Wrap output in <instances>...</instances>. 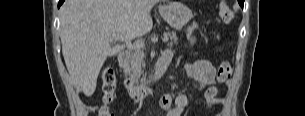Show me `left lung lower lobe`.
I'll list each match as a JSON object with an SVG mask.
<instances>
[{"label": "left lung lower lobe", "mask_w": 305, "mask_h": 116, "mask_svg": "<svg viewBox=\"0 0 305 116\" xmlns=\"http://www.w3.org/2000/svg\"><path fill=\"white\" fill-rule=\"evenodd\" d=\"M239 3L243 7L244 0H239Z\"/></svg>", "instance_id": "obj_1"}]
</instances>
